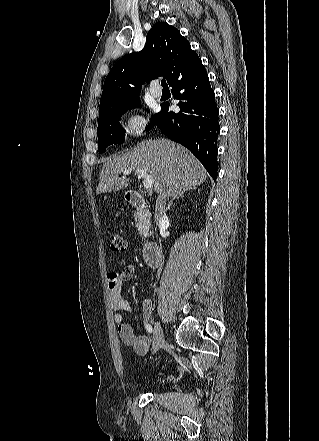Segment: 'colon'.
I'll use <instances>...</instances> for the list:
<instances>
[{"label": "colon", "mask_w": 319, "mask_h": 441, "mask_svg": "<svg viewBox=\"0 0 319 441\" xmlns=\"http://www.w3.org/2000/svg\"><path fill=\"white\" fill-rule=\"evenodd\" d=\"M109 237H110V249L112 251L120 252L126 249V242L119 233L111 232Z\"/></svg>", "instance_id": "1"}]
</instances>
